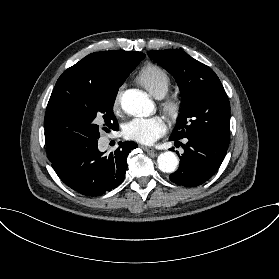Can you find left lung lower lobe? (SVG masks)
I'll list each match as a JSON object with an SVG mask.
<instances>
[{"instance_id": "obj_1", "label": "left lung lower lobe", "mask_w": 279, "mask_h": 279, "mask_svg": "<svg viewBox=\"0 0 279 279\" xmlns=\"http://www.w3.org/2000/svg\"><path fill=\"white\" fill-rule=\"evenodd\" d=\"M187 139L185 145L173 136L169 139L184 149L182 156L179 155V169L169 178L177 185L194 187L216 173L225 158L230 139L214 134H195L185 137Z\"/></svg>"}]
</instances>
